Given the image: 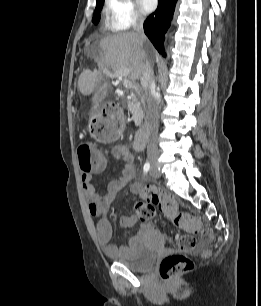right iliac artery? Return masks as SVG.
I'll use <instances>...</instances> for the list:
<instances>
[{"instance_id":"1","label":"right iliac artery","mask_w":261,"mask_h":306,"mask_svg":"<svg viewBox=\"0 0 261 306\" xmlns=\"http://www.w3.org/2000/svg\"><path fill=\"white\" fill-rule=\"evenodd\" d=\"M149 169H150V164H149L148 162H146V163L144 164V167H143L144 173H145V174L148 173Z\"/></svg>"}]
</instances>
